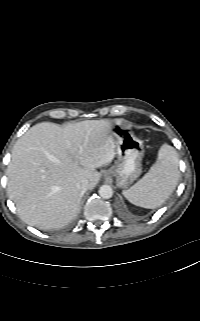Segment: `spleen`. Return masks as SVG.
<instances>
[{
  "label": "spleen",
  "instance_id": "1",
  "mask_svg": "<svg viewBox=\"0 0 200 321\" xmlns=\"http://www.w3.org/2000/svg\"><path fill=\"white\" fill-rule=\"evenodd\" d=\"M177 151L163 144L156 162L133 186L123 190L124 197L132 204L147 209L162 205L173 193L180 178Z\"/></svg>",
  "mask_w": 200,
  "mask_h": 321
}]
</instances>
